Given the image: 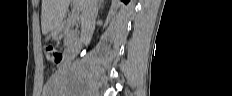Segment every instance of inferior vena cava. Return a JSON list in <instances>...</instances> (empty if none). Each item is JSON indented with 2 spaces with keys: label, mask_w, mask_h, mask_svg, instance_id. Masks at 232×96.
Segmentation results:
<instances>
[{
  "label": "inferior vena cava",
  "mask_w": 232,
  "mask_h": 96,
  "mask_svg": "<svg viewBox=\"0 0 232 96\" xmlns=\"http://www.w3.org/2000/svg\"><path fill=\"white\" fill-rule=\"evenodd\" d=\"M98 12V0H82L81 7V41L88 45L91 41L95 19Z\"/></svg>",
  "instance_id": "obj_1"
}]
</instances>
